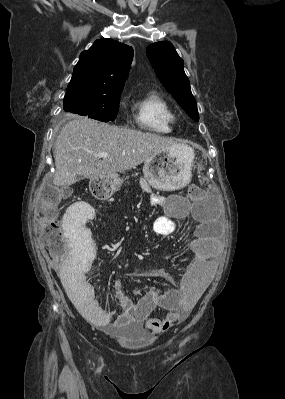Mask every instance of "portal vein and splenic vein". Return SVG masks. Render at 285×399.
<instances>
[{"instance_id": "18ae733b", "label": "portal vein and splenic vein", "mask_w": 285, "mask_h": 399, "mask_svg": "<svg viewBox=\"0 0 285 399\" xmlns=\"http://www.w3.org/2000/svg\"><path fill=\"white\" fill-rule=\"evenodd\" d=\"M97 157L99 158H107L109 155L106 152H102V153H97L95 154Z\"/></svg>"}]
</instances>
